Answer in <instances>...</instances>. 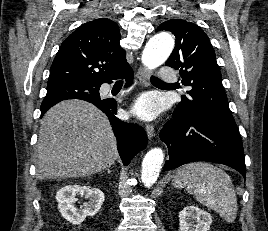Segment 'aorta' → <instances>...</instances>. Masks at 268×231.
<instances>
[{
	"instance_id": "762f6f07",
	"label": "aorta",
	"mask_w": 268,
	"mask_h": 231,
	"mask_svg": "<svg viewBox=\"0 0 268 231\" xmlns=\"http://www.w3.org/2000/svg\"><path fill=\"white\" fill-rule=\"evenodd\" d=\"M174 48V39L168 33H159L153 36L146 44L142 63L148 69H154L163 64ZM164 153L161 148L149 150L142 162L141 180L144 186L151 187L159 176Z\"/></svg>"
}]
</instances>
